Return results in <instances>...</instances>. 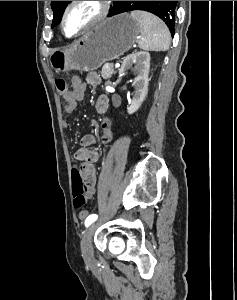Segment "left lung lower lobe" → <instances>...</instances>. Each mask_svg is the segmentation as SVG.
<instances>
[{
  "label": "left lung lower lobe",
  "instance_id": "obj_1",
  "mask_svg": "<svg viewBox=\"0 0 237 300\" xmlns=\"http://www.w3.org/2000/svg\"><path fill=\"white\" fill-rule=\"evenodd\" d=\"M113 15H116V13L112 11V12L109 14V16H113ZM173 35H174V34H173ZM173 35H172V36H173Z\"/></svg>",
  "mask_w": 237,
  "mask_h": 300
}]
</instances>
